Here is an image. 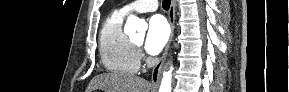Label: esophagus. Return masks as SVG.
Listing matches in <instances>:
<instances>
[{
    "instance_id": "34e87169",
    "label": "esophagus",
    "mask_w": 289,
    "mask_h": 92,
    "mask_svg": "<svg viewBox=\"0 0 289 92\" xmlns=\"http://www.w3.org/2000/svg\"><path fill=\"white\" fill-rule=\"evenodd\" d=\"M175 7H176V0H171V5H170L169 13H168V19H169L170 28H171V34H170V38H169L168 43L165 47V50L163 52L162 57L160 58L158 63L155 65V67L153 68V71H152L151 81H152L153 87H155V88H157L159 85L162 68H163L164 63L166 61L168 50H169V47H170V44H171V41H172L173 35H174Z\"/></svg>"
}]
</instances>
